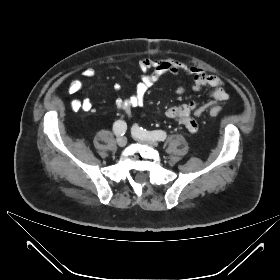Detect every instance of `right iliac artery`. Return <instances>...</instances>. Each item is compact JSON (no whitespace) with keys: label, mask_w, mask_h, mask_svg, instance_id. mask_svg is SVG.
<instances>
[{"label":"right iliac artery","mask_w":280,"mask_h":280,"mask_svg":"<svg viewBox=\"0 0 280 280\" xmlns=\"http://www.w3.org/2000/svg\"><path fill=\"white\" fill-rule=\"evenodd\" d=\"M126 130H127V125L122 120L116 121L113 125V131H114L115 135H117V136L124 135Z\"/></svg>","instance_id":"1"}]
</instances>
